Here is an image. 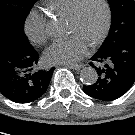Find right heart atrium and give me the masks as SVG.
Wrapping results in <instances>:
<instances>
[{"instance_id": "obj_1", "label": "right heart atrium", "mask_w": 135, "mask_h": 135, "mask_svg": "<svg viewBox=\"0 0 135 135\" xmlns=\"http://www.w3.org/2000/svg\"><path fill=\"white\" fill-rule=\"evenodd\" d=\"M24 31L32 43L36 45L45 43L49 37L45 16L32 10L25 19Z\"/></svg>"}]
</instances>
